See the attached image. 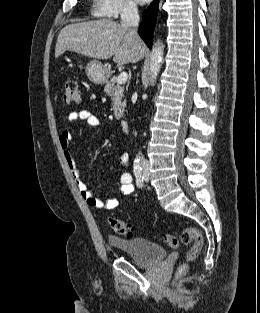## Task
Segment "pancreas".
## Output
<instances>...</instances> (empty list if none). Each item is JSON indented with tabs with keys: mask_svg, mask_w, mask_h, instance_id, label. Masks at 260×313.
<instances>
[{
	"mask_svg": "<svg viewBox=\"0 0 260 313\" xmlns=\"http://www.w3.org/2000/svg\"><path fill=\"white\" fill-rule=\"evenodd\" d=\"M117 83V77L106 80L104 92L111 97L114 116L120 119L123 116L126 100L123 101L124 86Z\"/></svg>",
	"mask_w": 260,
	"mask_h": 313,
	"instance_id": "1",
	"label": "pancreas"
}]
</instances>
